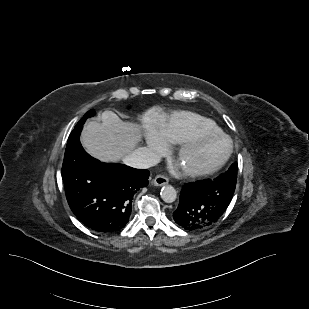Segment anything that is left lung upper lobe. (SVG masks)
<instances>
[{
	"label": "left lung upper lobe",
	"mask_w": 309,
	"mask_h": 309,
	"mask_svg": "<svg viewBox=\"0 0 309 309\" xmlns=\"http://www.w3.org/2000/svg\"><path fill=\"white\" fill-rule=\"evenodd\" d=\"M237 170H238V165L235 162L230 166V168L223 174H221L219 177H217L220 180H231L233 182L237 181Z\"/></svg>",
	"instance_id": "left-lung-upper-lobe-1"
}]
</instances>
